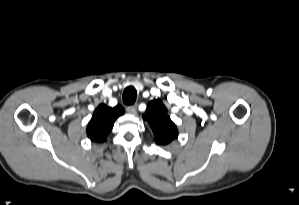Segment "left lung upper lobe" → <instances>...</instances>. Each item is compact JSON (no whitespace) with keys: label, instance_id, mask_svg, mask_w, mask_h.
Masks as SVG:
<instances>
[{"label":"left lung upper lobe","instance_id":"1","mask_svg":"<svg viewBox=\"0 0 299 205\" xmlns=\"http://www.w3.org/2000/svg\"><path fill=\"white\" fill-rule=\"evenodd\" d=\"M143 118L149 123L157 144L167 145L177 138V127L167 115V109L160 99L149 103Z\"/></svg>","mask_w":299,"mask_h":205}]
</instances>
